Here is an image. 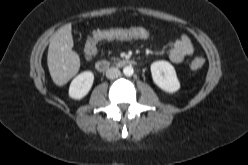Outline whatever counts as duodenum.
Segmentation results:
<instances>
[{
	"label": "duodenum",
	"instance_id": "410a0bca",
	"mask_svg": "<svg viewBox=\"0 0 248 165\" xmlns=\"http://www.w3.org/2000/svg\"><path fill=\"white\" fill-rule=\"evenodd\" d=\"M136 62L133 59H122L116 62H110L108 60H99L96 62L95 67L96 70L100 73L105 72L108 68H110L112 65L117 66H133Z\"/></svg>",
	"mask_w": 248,
	"mask_h": 165
}]
</instances>
